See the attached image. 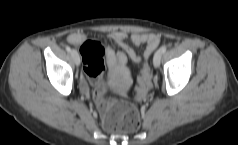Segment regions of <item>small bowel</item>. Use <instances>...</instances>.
<instances>
[{
  "mask_svg": "<svg viewBox=\"0 0 238 145\" xmlns=\"http://www.w3.org/2000/svg\"><path fill=\"white\" fill-rule=\"evenodd\" d=\"M109 37L116 42L121 48L122 52L115 53L110 47L103 45L104 57L111 66L124 65L127 58H130L135 63H140L142 58L135 50L126 42L128 34L122 30H113L109 33ZM67 40L74 45H81L88 40V37L80 32L71 33ZM130 40L134 45H145L144 58L149 60L153 51L159 43V38L154 33L133 32L130 35ZM147 67V66H146ZM141 87V86H140ZM146 86V90L148 89Z\"/></svg>",
  "mask_w": 238,
  "mask_h": 145,
  "instance_id": "c3829d8e",
  "label": "small bowel"
}]
</instances>
